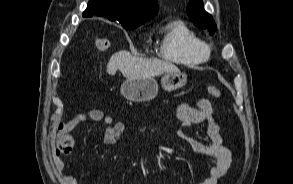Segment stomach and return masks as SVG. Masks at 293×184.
<instances>
[{"mask_svg": "<svg viewBox=\"0 0 293 184\" xmlns=\"http://www.w3.org/2000/svg\"><path fill=\"white\" fill-rule=\"evenodd\" d=\"M187 82V76L179 72H167L161 79L165 91L182 88ZM124 98L132 102H146L153 99L158 92V84L153 77L127 78L120 88Z\"/></svg>", "mask_w": 293, "mask_h": 184, "instance_id": "stomach-1", "label": "stomach"}]
</instances>
